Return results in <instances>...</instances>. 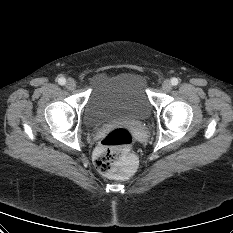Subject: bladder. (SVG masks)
Instances as JSON below:
<instances>
[{"instance_id": "1", "label": "bladder", "mask_w": 233, "mask_h": 233, "mask_svg": "<svg viewBox=\"0 0 233 233\" xmlns=\"http://www.w3.org/2000/svg\"><path fill=\"white\" fill-rule=\"evenodd\" d=\"M147 89V77L139 71L97 74L83 108L86 125L94 128L114 120L147 119L152 111Z\"/></svg>"}]
</instances>
